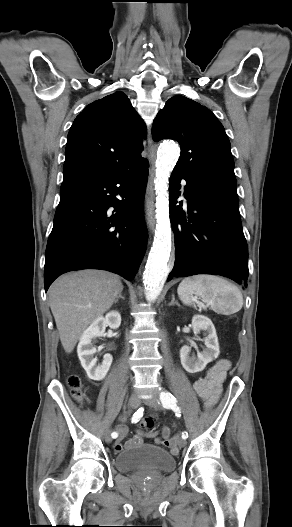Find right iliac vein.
Listing matches in <instances>:
<instances>
[{"mask_svg": "<svg viewBox=\"0 0 292 527\" xmlns=\"http://www.w3.org/2000/svg\"><path fill=\"white\" fill-rule=\"evenodd\" d=\"M139 405H140V398L136 394L131 395L128 401V406L132 409H136ZM105 440L108 443L112 441L110 430L106 432Z\"/></svg>", "mask_w": 292, "mask_h": 527, "instance_id": "63e3f726", "label": "right iliac vein"}]
</instances>
